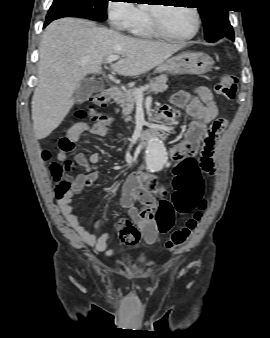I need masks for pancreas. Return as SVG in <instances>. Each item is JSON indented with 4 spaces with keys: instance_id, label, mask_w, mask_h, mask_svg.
Returning a JSON list of instances; mask_svg holds the SVG:
<instances>
[{
    "instance_id": "pancreas-1",
    "label": "pancreas",
    "mask_w": 270,
    "mask_h": 338,
    "mask_svg": "<svg viewBox=\"0 0 270 338\" xmlns=\"http://www.w3.org/2000/svg\"><path fill=\"white\" fill-rule=\"evenodd\" d=\"M167 76L161 75L151 80L150 83L146 86L147 88L144 91L147 93L154 92L155 94L164 92L167 89ZM142 88L125 90L122 99L119 101L120 106L122 107V113L126 117L125 121H130L131 117L129 116L133 110L137 98L135 97L134 92Z\"/></svg>"
}]
</instances>
